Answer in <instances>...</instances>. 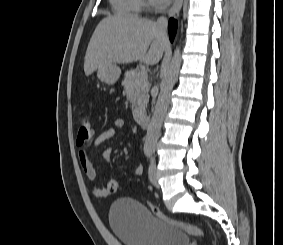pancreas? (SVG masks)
<instances>
[{
    "label": "pancreas",
    "mask_w": 283,
    "mask_h": 245,
    "mask_svg": "<svg viewBox=\"0 0 283 245\" xmlns=\"http://www.w3.org/2000/svg\"><path fill=\"white\" fill-rule=\"evenodd\" d=\"M139 73L140 71L137 69L127 71L122 82L124 93L132 103L134 118H138L145 111L149 101L150 83L147 78L141 79Z\"/></svg>",
    "instance_id": "1"
}]
</instances>
